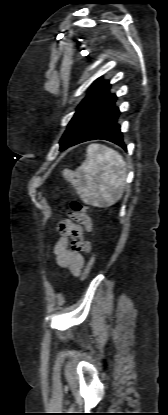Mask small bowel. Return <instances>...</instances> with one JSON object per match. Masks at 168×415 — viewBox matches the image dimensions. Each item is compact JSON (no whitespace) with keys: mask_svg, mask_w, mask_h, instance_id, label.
<instances>
[{"mask_svg":"<svg viewBox=\"0 0 168 415\" xmlns=\"http://www.w3.org/2000/svg\"><path fill=\"white\" fill-rule=\"evenodd\" d=\"M78 224L63 221L59 224V231L63 236L54 246V256L58 266L67 269L77 276L84 266L83 252L91 250V243L84 239L83 230H92L91 218L81 210H71L68 214Z\"/></svg>","mask_w":168,"mask_h":415,"instance_id":"c3829d8e","label":"small bowel"}]
</instances>
